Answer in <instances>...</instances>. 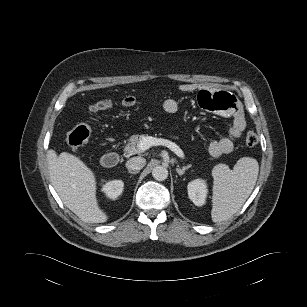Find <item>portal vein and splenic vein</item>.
Returning <instances> with one entry per match:
<instances>
[{"mask_svg": "<svg viewBox=\"0 0 307 307\" xmlns=\"http://www.w3.org/2000/svg\"><path fill=\"white\" fill-rule=\"evenodd\" d=\"M157 145H163V146L168 147L171 151H173L180 158H184L185 156L182 149L174 142L167 140V139H163V138H155L152 136H143L139 143V149L142 152H144L150 147L157 146Z\"/></svg>", "mask_w": 307, "mask_h": 307, "instance_id": "18ae733b", "label": "portal vein and splenic vein"}]
</instances>
